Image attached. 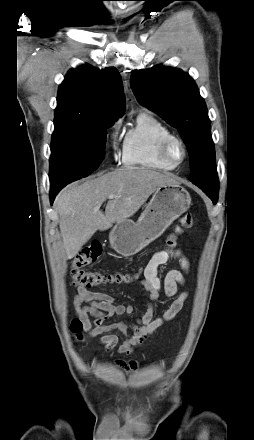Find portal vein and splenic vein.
Wrapping results in <instances>:
<instances>
[{
    "mask_svg": "<svg viewBox=\"0 0 254 440\" xmlns=\"http://www.w3.org/2000/svg\"><path fill=\"white\" fill-rule=\"evenodd\" d=\"M108 198H109V199H114V198L117 199V198H119V196H116V195H110V196H108Z\"/></svg>",
    "mask_w": 254,
    "mask_h": 440,
    "instance_id": "18ae733b",
    "label": "portal vein and splenic vein"
}]
</instances>
